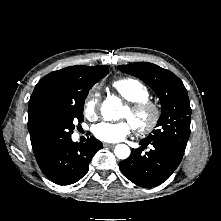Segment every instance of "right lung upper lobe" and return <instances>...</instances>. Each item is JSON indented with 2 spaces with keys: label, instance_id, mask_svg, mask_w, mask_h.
Instances as JSON below:
<instances>
[{
  "label": "right lung upper lobe",
  "instance_id": "cb5924a9",
  "mask_svg": "<svg viewBox=\"0 0 221 221\" xmlns=\"http://www.w3.org/2000/svg\"><path fill=\"white\" fill-rule=\"evenodd\" d=\"M107 66H72L44 76L35 86L28 103V128L34 153L45 145L39 136V120L45 109L57 103L76 85L104 75Z\"/></svg>",
  "mask_w": 221,
  "mask_h": 221
}]
</instances>
